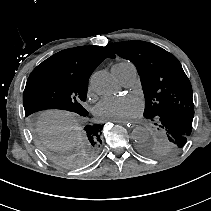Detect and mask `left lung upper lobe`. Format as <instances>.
I'll return each instance as SVG.
<instances>
[{
    "label": "left lung upper lobe",
    "instance_id": "1",
    "mask_svg": "<svg viewBox=\"0 0 211 211\" xmlns=\"http://www.w3.org/2000/svg\"><path fill=\"white\" fill-rule=\"evenodd\" d=\"M111 52L130 60L140 75L144 117L153 123L155 134L139 143V150L152 158H166L186 144L194 117L190 81L175 56L149 42L132 40L107 44Z\"/></svg>",
    "mask_w": 211,
    "mask_h": 211
}]
</instances>
